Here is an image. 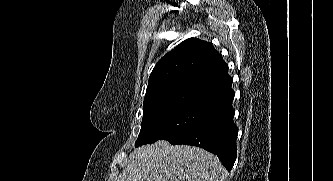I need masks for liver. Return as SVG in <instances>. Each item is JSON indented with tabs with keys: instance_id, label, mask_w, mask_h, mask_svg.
Returning a JSON list of instances; mask_svg holds the SVG:
<instances>
[{
	"instance_id": "obj_1",
	"label": "liver",
	"mask_w": 333,
	"mask_h": 181,
	"mask_svg": "<svg viewBox=\"0 0 333 181\" xmlns=\"http://www.w3.org/2000/svg\"><path fill=\"white\" fill-rule=\"evenodd\" d=\"M225 175L214 154L159 140L135 149L116 181H225Z\"/></svg>"
}]
</instances>
